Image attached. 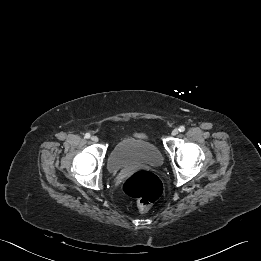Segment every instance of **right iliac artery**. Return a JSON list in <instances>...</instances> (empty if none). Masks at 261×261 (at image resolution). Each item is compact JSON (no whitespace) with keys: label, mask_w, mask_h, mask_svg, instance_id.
<instances>
[{"label":"right iliac artery","mask_w":261,"mask_h":261,"mask_svg":"<svg viewBox=\"0 0 261 261\" xmlns=\"http://www.w3.org/2000/svg\"><path fill=\"white\" fill-rule=\"evenodd\" d=\"M84 138L89 139V138H90V134H89V133H86L85 136H84Z\"/></svg>","instance_id":"obj_1"}]
</instances>
